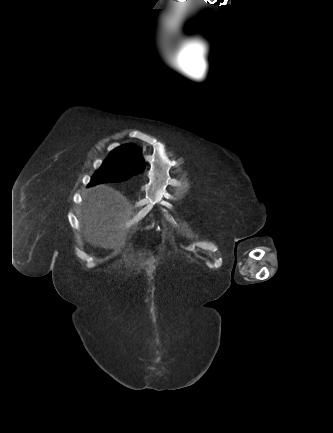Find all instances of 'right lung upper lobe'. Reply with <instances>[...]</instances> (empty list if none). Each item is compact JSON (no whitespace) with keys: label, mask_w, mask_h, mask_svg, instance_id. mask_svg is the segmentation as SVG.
<instances>
[{"label":"right lung upper lobe","mask_w":333,"mask_h":433,"mask_svg":"<svg viewBox=\"0 0 333 433\" xmlns=\"http://www.w3.org/2000/svg\"><path fill=\"white\" fill-rule=\"evenodd\" d=\"M110 157L117 159H130L141 165H144V161L139 149L134 145H123L116 149H114L110 155Z\"/></svg>","instance_id":"1"}]
</instances>
